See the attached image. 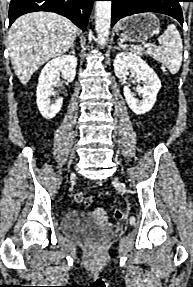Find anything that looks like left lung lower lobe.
Returning <instances> with one entry per match:
<instances>
[{
    "label": "left lung lower lobe",
    "mask_w": 193,
    "mask_h": 287,
    "mask_svg": "<svg viewBox=\"0 0 193 287\" xmlns=\"http://www.w3.org/2000/svg\"><path fill=\"white\" fill-rule=\"evenodd\" d=\"M112 18L111 26L119 19L143 12H156L169 15L183 25V14L179 4L180 0H111Z\"/></svg>",
    "instance_id": "left-lung-lower-lobe-1"
}]
</instances>
